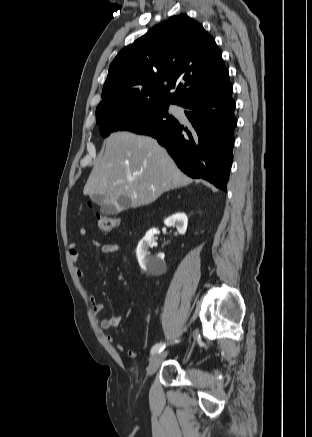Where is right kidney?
I'll use <instances>...</instances> for the list:
<instances>
[{"label":"right kidney","mask_w":312,"mask_h":437,"mask_svg":"<svg viewBox=\"0 0 312 437\" xmlns=\"http://www.w3.org/2000/svg\"><path fill=\"white\" fill-rule=\"evenodd\" d=\"M164 223L166 226H176L178 233L183 235L187 230L188 218L184 213H177L168 217ZM157 233L158 231L155 228L150 229L139 242L136 250L140 267L150 272L158 271L164 266L162 257L151 256L148 251L150 247H153L152 238Z\"/></svg>","instance_id":"ca27d5eb"}]
</instances>
